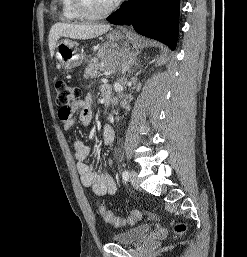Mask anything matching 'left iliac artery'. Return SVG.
Wrapping results in <instances>:
<instances>
[{"label":"left iliac artery","mask_w":247,"mask_h":257,"mask_svg":"<svg viewBox=\"0 0 247 257\" xmlns=\"http://www.w3.org/2000/svg\"><path fill=\"white\" fill-rule=\"evenodd\" d=\"M122 179L126 182V181H128V179H129V172H128V170H124L123 172H122Z\"/></svg>","instance_id":"obj_1"}]
</instances>
